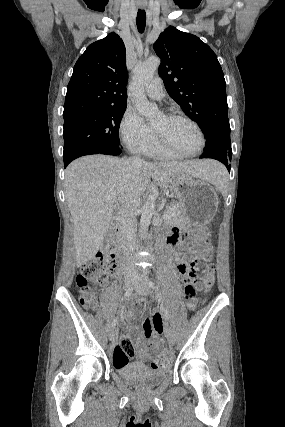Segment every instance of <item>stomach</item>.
<instances>
[{
	"instance_id": "0dacf381",
	"label": "stomach",
	"mask_w": 285,
	"mask_h": 427,
	"mask_svg": "<svg viewBox=\"0 0 285 427\" xmlns=\"http://www.w3.org/2000/svg\"><path fill=\"white\" fill-rule=\"evenodd\" d=\"M170 188L179 201L183 220L200 226L214 218L219 201L216 190L208 182L185 175L175 178Z\"/></svg>"
}]
</instances>
